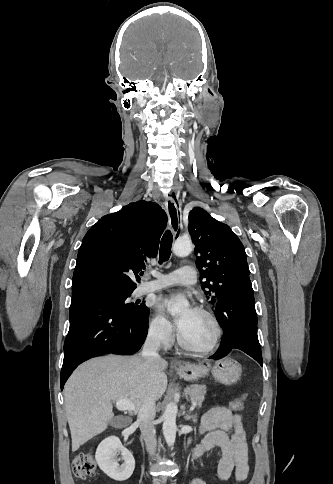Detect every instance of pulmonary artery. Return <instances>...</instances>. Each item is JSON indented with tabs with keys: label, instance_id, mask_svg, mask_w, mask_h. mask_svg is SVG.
<instances>
[{
	"label": "pulmonary artery",
	"instance_id": "1",
	"mask_svg": "<svg viewBox=\"0 0 333 484\" xmlns=\"http://www.w3.org/2000/svg\"><path fill=\"white\" fill-rule=\"evenodd\" d=\"M154 280L143 282L137 291L139 294L154 292L170 286H192L197 281L196 271L191 266H183L169 273L154 274Z\"/></svg>",
	"mask_w": 333,
	"mask_h": 484
}]
</instances>
